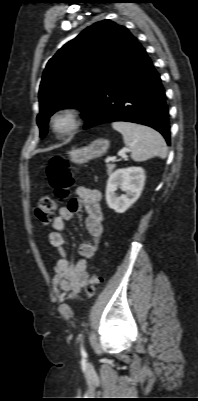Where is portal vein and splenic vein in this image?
I'll return each mask as SVG.
<instances>
[{"label": "portal vein and splenic vein", "mask_w": 198, "mask_h": 401, "mask_svg": "<svg viewBox=\"0 0 198 401\" xmlns=\"http://www.w3.org/2000/svg\"><path fill=\"white\" fill-rule=\"evenodd\" d=\"M119 155H120L121 157H123V158H127V155H126L125 152H121ZM115 159H116V156L110 157V158H108L106 161L108 162V161H112V160H115Z\"/></svg>", "instance_id": "obj_1"}]
</instances>
